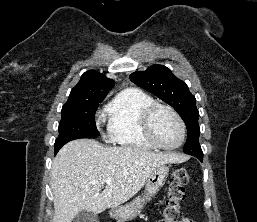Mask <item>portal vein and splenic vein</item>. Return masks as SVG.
Instances as JSON below:
<instances>
[{
    "mask_svg": "<svg viewBox=\"0 0 257 222\" xmlns=\"http://www.w3.org/2000/svg\"><path fill=\"white\" fill-rule=\"evenodd\" d=\"M100 183H101V184H108V185H111V179L108 178V179H106V180L101 181Z\"/></svg>",
    "mask_w": 257,
    "mask_h": 222,
    "instance_id": "obj_1",
    "label": "portal vein and splenic vein"
}]
</instances>
